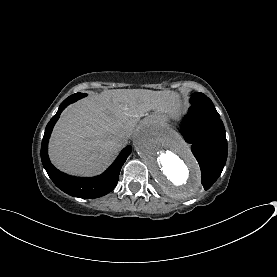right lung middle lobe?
I'll use <instances>...</instances> for the list:
<instances>
[{
    "label": "right lung middle lobe",
    "instance_id": "right-lung-middle-lobe-1",
    "mask_svg": "<svg viewBox=\"0 0 277 277\" xmlns=\"http://www.w3.org/2000/svg\"><path fill=\"white\" fill-rule=\"evenodd\" d=\"M76 96H79V99H81V98L85 97V96H86V94H83V93H77V94H75V95H74V97H76Z\"/></svg>",
    "mask_w": 277,
    "mask_h": 277
}]
</instances>
